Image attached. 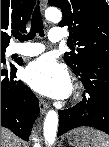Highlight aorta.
Segmentation results:
<instances>
[{"label":"aorta","mask_w":109,"mask_h":147,"mask_svg":"<svg viewBox=\"0 0 109 147\" xmlns=\"http://www.w3.org/2000/svg\"><path fill=\"white\" fill-rule=\"evenodd\" d=\"M45 17L48 21L59 22L62 19V13L58 8L49 7L45 11ZM58 127V114L54 110H50L45 118L43 133L46 144L51 146L55 142Z\"/></svg>","instance_id":"1"}]
</instances>
